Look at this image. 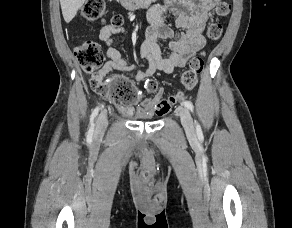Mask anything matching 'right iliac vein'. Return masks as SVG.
I'll return each mask as SVG.
<instances>
[{
  "mask_svg": "<svg viewBox=\"0 0 292 228\" xmlns=\"http://www.w3.org/2000/svg\"><path fill=\"white\" fill-rule=\"evenodd\" d=\"M107 125H108L107 113L103 111L99 114L97 118L95 135L97 137L102 136L107 128Z\"/></svg>",
  "mask_w": 292,
  "mask_h": 228,
  "instance_id": "obj_1",
  "label": "right iliac vein"
}]
</instances>
